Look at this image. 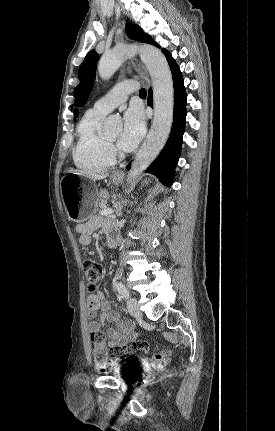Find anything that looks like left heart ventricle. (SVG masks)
I'll return each mask as SVG.
<instances>
[{
  "label": "left heart ventricle",
  "instance_id": "obj_1",
  "mask_svg": "<svg viewBox=\"0 0 275 431\" xmlns=\"http://www.w3.org/2000/svg\"><path fill=\"white\" fill-rule=\"evenodd\" d=\"M118 137H119V133H115V134L109 136L108 140L111 142H116L118 140Z\"/></svg>",
  "mask_w": 275,
  "mask_h": 431
}]
</instances>
